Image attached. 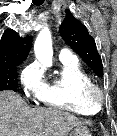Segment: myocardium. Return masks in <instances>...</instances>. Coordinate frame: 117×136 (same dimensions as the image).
I'll return each mask as SVG.
<instances>
[{
  "label": "myocardium",
  "mask_w": 117,
  "mask_h": 136,
  "mask_svg": "<svg viewBox=\"0 0 117 136\" xmlns=\"http://www.w3.org/2000/svg\"><path fill=\"white\" fill-rule=\"evenodd\" d=\"M83 98L90 105L100 108L105 103L106 95L98 85L92 82L85 87Z\"/></svg>",
  "instance_id": "f54148a6"
}]
</instances>
